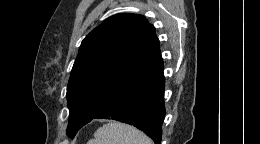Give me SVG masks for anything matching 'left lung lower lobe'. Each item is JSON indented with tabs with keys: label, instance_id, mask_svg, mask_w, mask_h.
<instances>
[{
	"label": "left lung lower lobe",
	"instance_id": "left-lung-lower-lobe-1",
	"mask_svg": "<svg viewBox=\"0 0 260 144\" xmlns=\"http://www.w3.org/2000/svg\"><path fill=\"white\" fill-rule=\"evenodd\" d=\"M161 58V56H160ZM154 59L134 71L113 93L93 119L124 122L145 132L161 144L165 80Z\"/></svg>",
	"mask_w": 260,
	"mask_h": 144
}]
</instances>
